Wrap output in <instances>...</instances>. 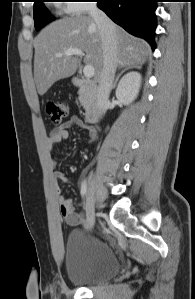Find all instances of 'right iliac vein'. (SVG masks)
Instances as JSON below:
<instances>
[{
	"instance_id": "right-iliac-vein-1",
	"label": "right iliac vein",
	"mask_w": 195,
	"mask_h": 299,
	"mask_svg": "<svg viewBox=\"0 0 195 299\" xmlns=\"http://www.w3.org/2000/svg\"><path fill=\"white\" fill-rule=\"evenodd\" d=\"M86 218H87V228L92 229L95 224V198H94V183L92 179L89 182V189L86 196Z\"/></svg>"
}]
</instances>
